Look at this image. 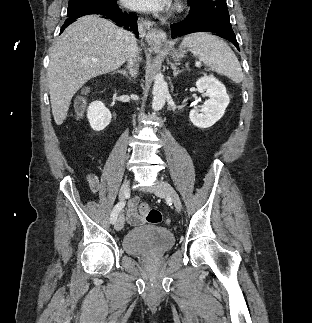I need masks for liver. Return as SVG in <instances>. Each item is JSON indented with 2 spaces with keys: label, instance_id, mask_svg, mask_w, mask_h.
Returning a JSON list of instances; mask_svg holds the SVG:
<instances>
[{
  "label": "liver",
  "instance_id": "liver-1",
  "mask_svg": "<svg viewBox=\"0 0 312 323\" xmlns=\"http://www.w3.org/2000/svg\"><path fill=\"white\" fill-rule=\"evenodd\" d=\"M128 54L126 30L97 14L82 16L64 30L49 50L47 72L57 126L63 124L74 94L91 78L118 70Z\"/></svg>",
  "mask_w": 312,
  "mask_h": 323
}]
</instances>
